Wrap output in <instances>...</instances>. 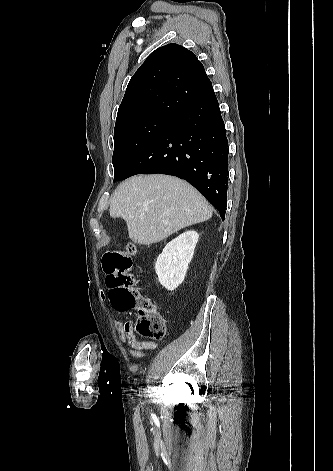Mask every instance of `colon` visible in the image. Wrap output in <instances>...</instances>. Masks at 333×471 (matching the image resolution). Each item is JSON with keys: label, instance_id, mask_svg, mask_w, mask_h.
I'll list each match as a JSON object with an SVG mask.
<instances>
[{"label": "colon", "instance_id": "colon-1", "mask_svg": "<svg viewBox=\"0 0 333 471\" xmlns=\"http://www.w3.org/2000/svg\"><path fill=\"white\" fill-rule=\"evenodd\" d=\"M135 246L127 243L124 247L109 251L102 258L106 273V284L110 288L109 298L118 311L136 310V330L144 337L162 340L166 334V322L156 306L135 288L132 274V256Z\"/></svg>", "mask_w": 333, "mask_h": 471}]
</instances>
